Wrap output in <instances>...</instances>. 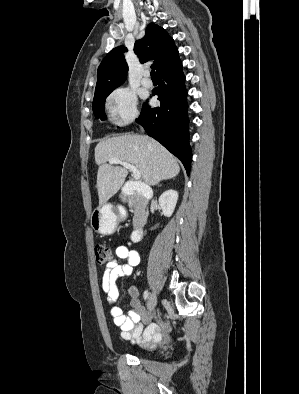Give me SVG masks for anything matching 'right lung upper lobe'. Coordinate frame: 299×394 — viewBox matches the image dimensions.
Masks as SVG:
<instances>
[{"label":"right lung upper lobe","instance_id":"1","mask_svg":"<svg viewBox=\"0 0 299 394\" xmlns=\"http://www.w3.org/2000/svg\"><path fill=\"white\" fill-rule=\"evenodd\" d=\"M126 51V47H116L102 60L97 71L95 93L115 89L126 80L128 66L123 55ZM134 52L141 63L155 60L152 68L156 69L157 73L179 58L173 39L154 23H150L145 36L135 42Z\"/></svg>","mask_w":299,"mask_h":394}]
</instances>
